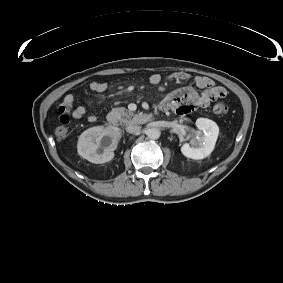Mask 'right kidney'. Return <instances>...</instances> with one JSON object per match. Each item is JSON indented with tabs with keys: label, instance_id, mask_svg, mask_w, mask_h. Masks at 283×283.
Here are the masks:
<instances>
[{
	"label": "right kidney",
	"instance_id": "ca27d5eb",
	"mask_svg": "<svg viewBox=\"0 0 283 283\" xmlns=\"http://www.w3.org/2000/svg\"><path fill=\"white\" fill-rule=\"evenodd\" d=\"M119 135L113 127L95 126L85 130L78 139V154L91 163L101 164L114 158Z\"/></svg>",
	"mask_w": 283,
	"mask_h": 283
}]
</instances>
